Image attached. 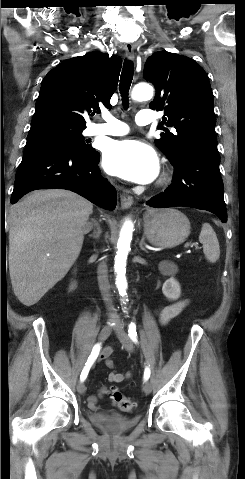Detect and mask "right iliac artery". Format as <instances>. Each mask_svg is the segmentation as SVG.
<instances>
[{
  "instance_id": "obj_1",
  "label": "right iliac artery",
  "mask_w": 245,
  "mask_h": 479,
  "mask_svg": "<svg viewBox=\"0 0 245 479\" xmlns=\"http://www.w3.org/2000/svg\"><path fill=\"white\" fill-rule=\"evenodd\" d=\"M100 349H101L100 344H96V345L93 347L92 352H91L90 356L88 357V360H87V362L85 363V366H84V368H83V370H82V372H81V375H80V380H81L82 382L86 379V377H87V375H88V373H89V370H90L92 364L94 363V361L96 360V358H97L98 355H99Z\"/></svg>"
}]
</instances>
